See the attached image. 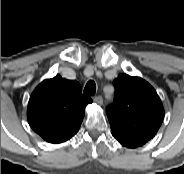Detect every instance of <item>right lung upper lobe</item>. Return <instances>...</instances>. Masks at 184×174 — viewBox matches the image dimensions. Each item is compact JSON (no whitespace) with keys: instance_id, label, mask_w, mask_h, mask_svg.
I'll return each instance as SVG.
<instances>
[{"instance_id":"right-lung-upper-lobe-1","label":"right lung upper lobe","mask_w":184,"mask_h":174,"mask_svg":"<svg viewBox=\"0 0 184 174\" xmlns=\"http://www.w3.org/2000/svg\"><path fill=\"white\" fill-rule=\"evenodd\" d=\"M90 103L91 98L82 94L77 81L58 74L44 80L31 94L28 123L47 142L62 143L78 132L84 110Z\"/></svg>"}]
</instances>
